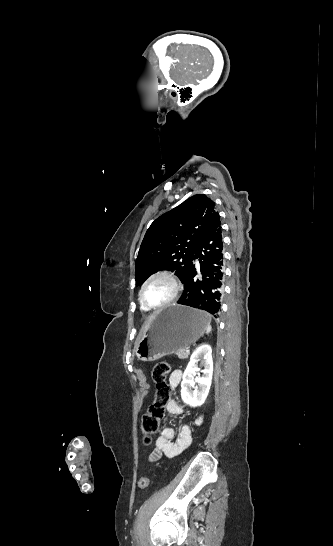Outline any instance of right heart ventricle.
Instances as JSON below:
<instances>
[{"mask_svg":"<svg viewBox=\"0 0 333 546\" xmlns=\"http://www.w3.org/2000/svg\"><path fill=\"white\" fill-rule=\"evenodd\" d=\"M141 304V303H140ZM141 308L145 311L149 310L148 308L144 307L142 304H141Z\"/></svg>","mask_w":333,"mask_h":546,"instance_id":"e07e8e85","label":"right heart ventricle"}]
</instances>
